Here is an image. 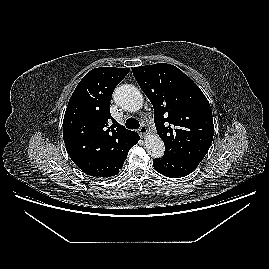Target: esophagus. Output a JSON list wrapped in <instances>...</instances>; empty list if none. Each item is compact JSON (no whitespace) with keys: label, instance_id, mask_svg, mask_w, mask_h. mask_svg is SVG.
<instances>
[{"label":"esophagus","instance_id":"esophagus-1","mask_svg":"<svg viewBox=\"0 0 269 269\" xmlns=\"http://www.w3.org/2000/svg\"><path fill=\"white\" fill-rule=\"evenodd\" d=\"M138 132L141 137H144L147 134V128L144 125H141Z\"/></svg>","mask_w":269,"mask_h":269}]
</instances>
